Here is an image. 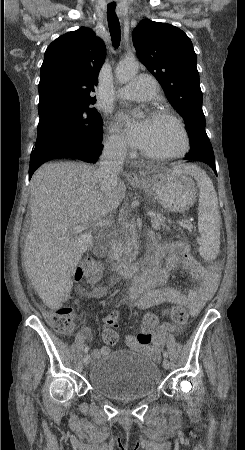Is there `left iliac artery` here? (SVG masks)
Here are the masks:
<instances>
[{"mask_svg":"<svg viewBox=\"0 0 245 450\" xmlns=\"http://www.w3.org/2000/svg\"><path fill=\"white\" fill-rule=\"evenodd\" d=\"M163 356H164L165 358H167V357H168V353H167L166 351H164V352H163Z\"/></svg>","mask_w":245,"mask_h":450,"instance_id":"1","label":"left iliac artery"}]
</instances>
